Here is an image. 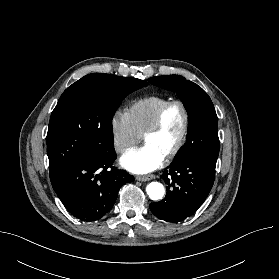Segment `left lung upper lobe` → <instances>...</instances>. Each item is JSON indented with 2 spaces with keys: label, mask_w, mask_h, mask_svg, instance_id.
<instances>
[{
  "label": "left lung upper lobe",
  "mask_w": 279,
  "mask_h": 279,
  "mask_svg": "<svg viewBox=\"0 0 279 279\" xmlns=\"http://www.w3.org/2000/svg\"><path fill=\"white\" fill-rule=\"evenodd\" d=\"M148 81L176 92L188 112L187 141L172 163L194 160L215 168L219 154L218 120L207 93L180 75L156 76Z\"/></svg>",
  "instance_id": "left-lung-upper-lobe-1"
}]
</instances>
